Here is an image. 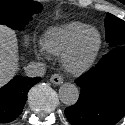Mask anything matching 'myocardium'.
<instances>
[{
    "instance_id": "myocardium-1",
    "label": "myocardium",
    "mask_w": 125,
    "mask_h": 125,
    "mask_svg": "<svg viewBox=\"0 0 125 125\" xmlns=\"http://www.w3.org/2000/svg\"><path fill=\"white\" fill-rule=\"evenodd\" d=\"M95 32L97 34L98 40L96 46L89 53V55L82 61H76L74 58L76 49L83 38V36L88 32ZM102 46V35L100 31L94 27H88L87 29L80 32L74 40L70 43V45L66 48V50L61 55V62L63 67L70 73L73 74H82L87 71L93 62L95 61L100 49Z\"/></svg>"
}]
</instances>
